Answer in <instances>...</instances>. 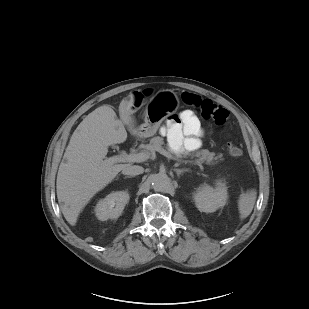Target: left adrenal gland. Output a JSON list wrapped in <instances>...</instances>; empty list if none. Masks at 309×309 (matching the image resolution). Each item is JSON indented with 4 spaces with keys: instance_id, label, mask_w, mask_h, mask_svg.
<instances>
[{
    "instance_id": "left-adrenal-gland-1",
    "label": "left adrenal gland",
    "mask_w": 309,
    "mask_h": 309,
    "mask_svg": "<svg viewBox=\"0 0 309 309\" xmlns=\"http://www.w3.org/2000/svg\"><path fill=\"white\" fill-rule=\"evenodd\" d=\"M173 170L176 172L177 176H180L182 173L189 171V169H177V168H174Z\"/></svg>"
}]
</instances>
